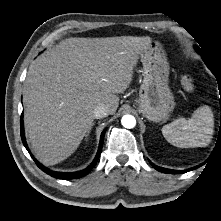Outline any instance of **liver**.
<instances>
[{
    "label": "liver",
    "mask_w": 221,
    "mask_h": 221,
    "mask_svg": "<svg viewBox=\"0 0 221 221\" xmlns=\"http://www.w3.org/2000/svg\"><path fill=\"white\" fill-rule=\"evenodd\" d=\"M150 37L68 38L30 65L23 91L25 131L36 158L55 165L73 154L104 104L130 85Z\"/></svg>",
    "instance_id": "obj_1"
}]
</instances>
